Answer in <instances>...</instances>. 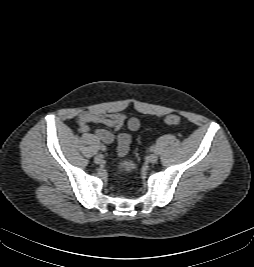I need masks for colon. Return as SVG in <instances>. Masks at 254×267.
Here are the masks:
<instances>
[{
    "label": "colon",
    "instance_id": "obj_1",
    "mask_svg": "<svg viewBox=\"0 0 254 267\" xmlns=\"http://www.w3.org/2000/svg\"><path fill=\"white\" fill-rule=\"evenodd\" d=\"M180 121V118L179 116L175 115V114H171V115H168L166 118H165V123L167 125H176L178 124Z\"/></svg>",
    "mask_w": 254,
    "mask_h": 267
}]
</instances>
